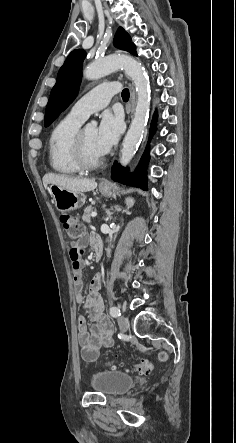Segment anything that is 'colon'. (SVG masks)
Here are the masks:
<instances>
[{
  "instance_id": "obj_1",
  "label": "colon",
  "mask_w": 236,
  "mask_h": 443,
  "mask_svg": "<svg viewBox=\"0 0 236 443\" xmlns=\"http://www.w3.org/2000/svg\"><path fill=\"white\" fill-rule=\"evenodd\" d=\"M61 224L63 226L64 231L68 235V237L73 241L77 242L80 240V238L83 235V226L82 223L79 221V219L76 216L73 215H62L60 217ZM81 252L77 249V246H74L71 250V263L73 270L79 271L81 269ZM159 358L161 360H166L167 355L164 352H161L159 354ZM85 360L90 359V355L86 354L84 357ZM108 367L114 368V364H108ZM151 369V363L148 361H142L139 364L136 365V370L140 372H148Z\"/></svg>"
}]
</instances>
